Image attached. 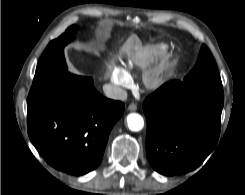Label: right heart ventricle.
Returning a JSON list of instances; mask_svg holds the SVG:
<instances>
[{"mask_svg":"<svg viewBox=\"0 0 245 195\" xmlns=\"http://www.w3.org/2000/svg\"><path fill=\"white\" fill-rule=\"evenodd\" d=\"M164 48H165L164 46H161L157 50L146 51L143 55H135V56L126 58L122 62L123 70L128 74L135 67L144 64L147 60L152 58L155 54L161 52Z\"/></svg>","mask_w":245,"mask_h":195,"instance_id":"1","label":"right heart ventricle"}]
</instances>
